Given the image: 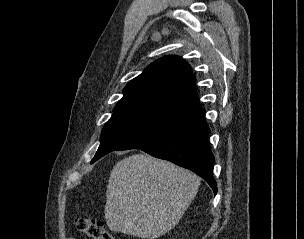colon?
<instances>
[{
	"instance_id": "1",
	"label": "colon",
	"mask_w": 304,
	"mask_h": 239,
	"mask_svg": "<svg viewBox=\"0 0 304 239\" xmlns=\"http://www.w3.org/2000/svg\"><path fill=\"white\" fill-rule=\"evenodd\" d=\"M75 226L88 239H118L101 221L89 217L76 218Z\"/></svg>"
}]
</instances>
